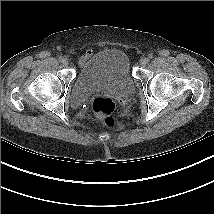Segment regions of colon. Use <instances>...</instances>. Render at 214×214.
Segmentation results:
<instances>
[{"instance_id":"obj_1","label":"colon","mask_w":214,"mask_h":214,"mask_svg":"<svg viewBox=\"0 0 214 214\" xmlns=\"http://www.w3.org/2000/svg\"><path fill=\"white\" fill-rule=\"evenodd\" d=\"M92 108L95 114L102 119L103 123L112 128L115 126L113 113L116 109V101L109 97H97L94 99Z\"/></svg>"}]
</instances>
